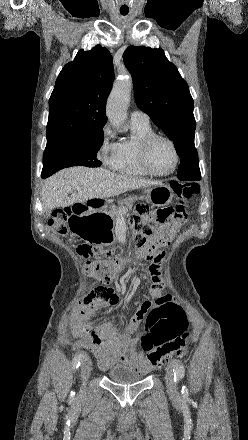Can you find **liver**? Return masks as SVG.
<instances>
[{"label": "liver", "instance_id": "6515ba94", "mask_svg": "<svg viewBox=\"0 0 248 440\" xmlns=\"http://www.w3.org/2000/svg\"><path fill=\"white\" fill-rule=\"evenodd\" d=\"M158 184L156 181L120 175L103 168L71 167L57 172L45 181L41 193L42 204L45 211H51L57 207L108 198Z\"/></svg>", "mask_w": 248, "mask_h": 440}]
</instances>
